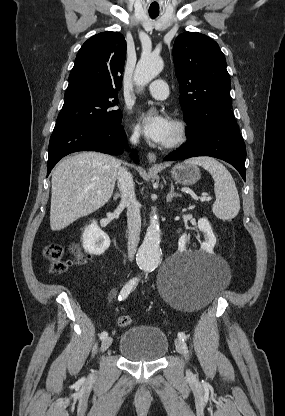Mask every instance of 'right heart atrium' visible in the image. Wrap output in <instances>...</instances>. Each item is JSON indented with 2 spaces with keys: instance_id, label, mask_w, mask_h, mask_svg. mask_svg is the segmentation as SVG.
Wrapping results in <instances>:
<instances>
[{
  "instance_id": "d8ad5b80",
  "label": "right heart atrium",
  "mask_w": 285,
  "mask_h": 416,
  "mask_svg": "<svg viewBox=\"0 0 285 416\" xmlns=\"http://www.w3.org/2000/svg\"><path fill=\"white\" fill-rule=\"evenodd\" d=\"M138 134H139L138 129H134V137H137V136H138Z\"/></svg>"
}]
</instances>
